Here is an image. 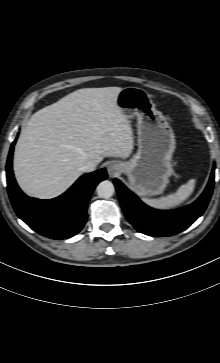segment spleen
Segmentation results:
<instances>
[{"label":"spleen","instance_id":"1","mask_svg":"<svg viewBox=\"0 0 220 363\" xmlns=\"http://www.w3.org/2000/svg\"><path fill=\"white\" fill-rule=\"evenodd\" d=\"M195 182V179H191L186 184L180 186L173 194L159 199L145 198L143 199V202L148 206L159 210L173 209L190 197L194 191Z\"/></svg>","mask_w":220,"mask_h":363}]
</instances>
